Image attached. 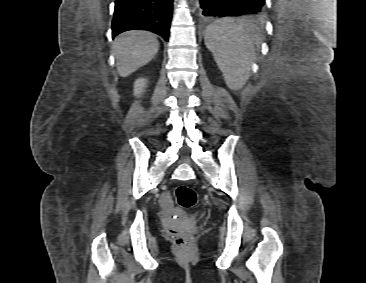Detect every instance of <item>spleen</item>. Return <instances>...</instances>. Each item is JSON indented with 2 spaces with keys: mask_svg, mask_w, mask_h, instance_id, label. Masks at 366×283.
<instances>
[{
  "mask_svg": "<svg viewBox=\"0 0 366 283\" xmlns=\"http://www.w3.org/2000/svg\"><path fill=\"white\" fill-rule=\"evenodd\" d=\"M255 36L256 27L244 19L225 18L206 28V47L213 53L225 83L232 90H240L250 77L256 56Z\"/></svg>",
  "mask_w": 366,
  "mask_h": 283,
  "instance_id": "spleen-1",
  "label": "spleen"
}]
</instances>
